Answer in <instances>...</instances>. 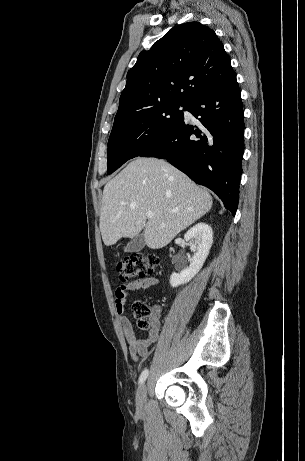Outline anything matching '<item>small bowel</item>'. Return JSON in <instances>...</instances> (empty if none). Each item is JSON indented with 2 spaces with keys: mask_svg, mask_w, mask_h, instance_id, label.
Returning <instances> with one entry per match:
<instances>
[{
  "mask_svg": "<svg viewBox=\"0 0 305 461\" xmlns=\"http://www.w3.org/2000/svg\"><path fill=\"white\" fill-rule=\"evenodd\" d=\"M158 285V279L153 277L139 278L117 287L115 291V309L119 316L120 327L129 346V352L133 361L138 362L149 354V347L158 339L160 330L161 307L153 306L150 318L151 325L146 337L136 336L130 320L125 315L126 304L131 293L140 289L153 288Z\"/></svg>",
  "mask_w": 305,
  "mask_h": 461,
  "instance_id": "obj_1",
  "label": "small bowel"
}]
</instances>
